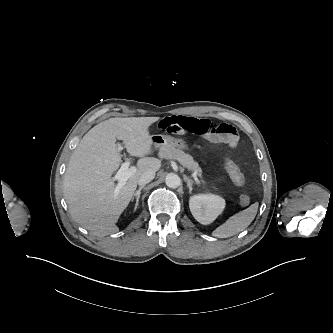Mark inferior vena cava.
I'll return each instance as SVG.
<instances>
[{
  "mask_svg": "<svg viewBox=\"0 0 333 333\" xmlns=\"http://www.w3.org/2000/svg\"><path fill=\"white\" fill-rule=\"evenodd\" d=\"M154 177H155V172L146 171L140 176V178L138 180V185L139 186H144L147 183L151 182L154 179Z\"/></svg>",
  "mask_w": 333,
  "mask_h": 333,
  "instance_id": "602c4592",
  "label": "inferior vena cava"
}]
</instances>
